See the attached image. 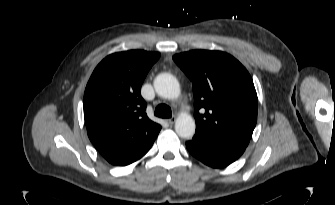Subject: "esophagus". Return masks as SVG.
<instances>
[{
	"label": "esophagus",
	"instance_id": "34e87169",
	"mask_svg": "<svg viewBox=\"0 0 335 205\" xmlns=\"http://www.w3.org/2000/svg\"><path fill=\"white\" fill-rule=\"evenodd\" d=\"M175 121H176V117H171V118L167 119V122H168L170 125L174 124Z\"/></svg>",
	"mask_w": 335,
	"mask_h": 205
}]
</instances>
